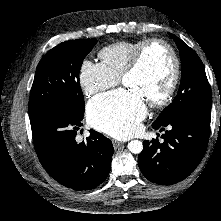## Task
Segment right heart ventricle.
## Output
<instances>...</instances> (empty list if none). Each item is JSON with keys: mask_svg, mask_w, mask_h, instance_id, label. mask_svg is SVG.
I'll return each mask as SVG.
<instances>
[{"mask_svg": "<svg viewBox=\"0 0 221 221\" xmlns=\"http://www.w3.org/2000/svg\"><path fill=\"white\" fill-rule=\"evenodd\" d=\"M144 41V39L137 41H120L106 46L99 52L100 63L103 68L117 77L121 75L129 64L132 55L136 48Z\"/></svg>", "mask_w": 221, "mask_h": 221, "instance_id": "right-heart-ventricle-1", "label": "right heart ventricle"}]
</instances>
